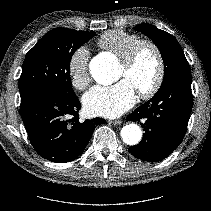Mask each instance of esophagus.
<instances>
[{"instance_id":"1","label":"esophagus","mask_w":211,"mask_h":211,"mask_svg":"<svg viewBox=\"0 0 211 211\" xmlns=\"http://www.w3.org/2000/svg\"><path fill=\"white\" fill-rule=\"evenodd\" d=\"M110 123L114 124V125H120L122 123V120H111Z\"/></svg>"}]
</instances>
